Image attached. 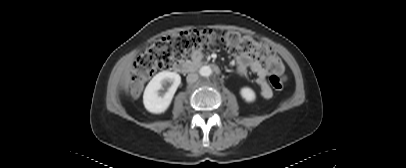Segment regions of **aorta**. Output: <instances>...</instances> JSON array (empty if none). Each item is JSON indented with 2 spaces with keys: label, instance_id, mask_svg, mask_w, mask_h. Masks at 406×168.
<instances>
[{
  "label": "aorta",
  "instance_id": "1",
  "mask_svg": "<svg viewBox=\"0 0 406 168\" xmlns=\"http://www.w3.org/2000/svg\"><path fill=\"white\" fill-rule=\"evenodd\" d=\"M199 74L203 77H209L212 74V69L209 66H202L199 70Z\"/></svg>",
  "mask_w": 406,
  "mask_h": 168
}]
</instances>
